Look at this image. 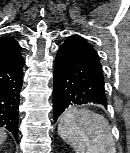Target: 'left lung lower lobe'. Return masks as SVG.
<instances>
[{
	"instance_id": "obj_1",
	"label": "left lung lower lobe",
	"mask_w": 130,
	"mask_h": 153,
	"mask_svg": "<svg viewBox=\"0 0 130 153\" xmlns=\"http://www.w3.org/2000/svg\"><path fill=\"white\" fill-rule=\"evenodd\" d=\"M53 88L55 122L73 104L92 102L107 107L102 65L84 38L72 35L57 51Z\"/></svg>"
}]
</instances>
